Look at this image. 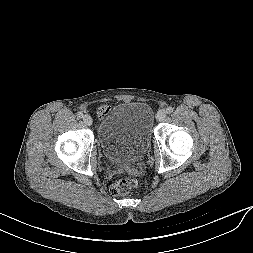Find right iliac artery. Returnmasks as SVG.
<instances>
[{"mask_svg":"<svg viewBox=\"0 0 253 253\" xmlns=\"http://www.w3.org/2000/svg\"><path fill=\"white\" fill-rule=\"evenodd\" d=\"M77 117H78V118H83V113H82V112H78V113H77Z\"/></svg>","mask_w":253,"mask_h":253,"instance_id":"1","label":"right iliac artery"}]
</instances>
